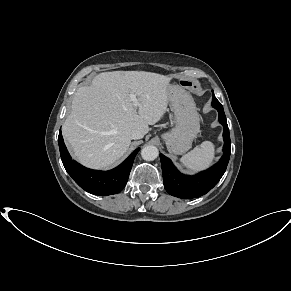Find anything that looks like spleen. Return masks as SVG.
<instances>
[{
    "instance_id": "spleen-1",
    "label": "spleen",
    "mask_w": 291,
    "mask_h": 291,
    "mask_svg": "<svg viewBox=\"0 0 291 291\" xmlns=\"http://www.w3.org/2000/svg\"><path fill=\"white\" fill-rule=\"evenodd\" d=\"M214 154V144L210 141H204L200 146L184 155L180 161L186 168L192 171H201L211 165Z\"/></svg>"
}]
</instances>
